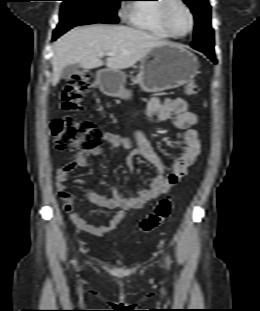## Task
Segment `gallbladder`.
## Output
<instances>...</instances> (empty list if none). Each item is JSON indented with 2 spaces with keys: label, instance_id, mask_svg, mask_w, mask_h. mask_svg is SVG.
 <instances>
[{
  "label": "gallbladder",
  "instance_id": "gallbladder-1",
  "mask_svg": "<svg viewBox=\"0 0 260 311\" xmlns=\"http://www.w3.org/2000/svg\"><path fill=\"white\" fill-rule=\"evenodd\" d=\"M80 65L79 64H73V65H68L63 68L61 72V77L63 79H68L71 76L77 74L79 72Z\"/></svg>",
  "mask_w": 260,
  "mask_h": 311
}]
</instances>
